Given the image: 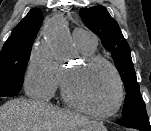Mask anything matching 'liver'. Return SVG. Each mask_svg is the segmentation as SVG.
Masks as SVG:
<instances>
[{"label":"liver","instance_id":"6515ba94","mask_svg":"<svg viewBox=\"0 0 151 131\" xmlns=\"http://www.w3.org/2000/svg\"><path fill=\"white\" fill-rule=\"evenodd\" d=\"M89 119L42 101L14 99L0 107V131H75Z\"/></svg>","mask_w":151,"mask_h":131}]
</instances>
